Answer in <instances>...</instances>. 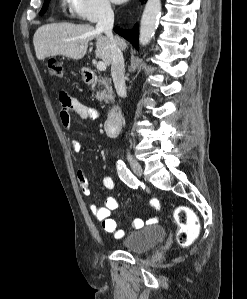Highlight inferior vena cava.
Listing matches in <instances>:
<instances>
[{"label":"inferior vena cava","instance_id":"inferior-vena-cava-1","mask_svg":"<svg viewBox=\"0 0 247 299\" xmlns=\"http://www.w3.org/2000/svg\"><path fill=\"white\" fill-rule=\"evenodd\" d=\"M114 25V13L110 4H103L99 11V20L96 29L103 31L110 41L111 49V75L115 89L119 97L126 95V86L124 80L125 65L124 58L116 39L113 36L112 29Z\"/></svg>","mask_w":247,"mask_h":299}]
</instances>
